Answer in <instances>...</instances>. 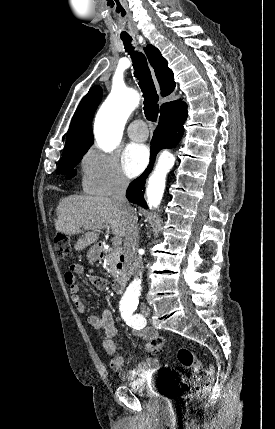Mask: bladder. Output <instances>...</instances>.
I'll list each match as a JSON object with an SVG mask.
<instances>
[{"instance_id": "1", "label": "bladder", "mask_w": 275, "mask_h": 429, "mask_svg": "<svg viewBox=\"0 0 275 429\" xmlns=\"http://www.w3.org/2000/svg\"><path fill=\"white\" fill-rule=\"evenodd\" d=\"M130 393L148 398V403H179L175 377L130 378Z\"/></svg>"}]
</instances>
